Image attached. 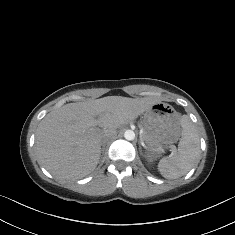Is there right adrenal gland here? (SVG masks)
Instances as JSON below:
<instances>
[{"label":"right adrenal gland","instance_id":"obj_1","mask_svg":"<svg viewBox=\"0 0 235 235\" xmlns=\"http://www.w3.org/2000/svg\"><path fill=\"white\" fill-rule=\"evenodd\" d=\"M104 153V148H101V154Z\"/></svg>","mask_w":235,"mask_h":235}]
</instances>
